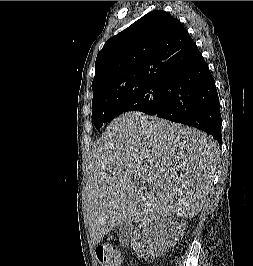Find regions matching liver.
I'll list each match as a JSON object with an SVG mask.
<instances>
[{
	"instance_id": "liver-1",
	"label": "liver",
	"mask_w": 253,
	"mask_h": 266,
	"mask_svg": "<svg viewBox=\"0 0 253 266\" xmlns=\"http://www.w3.org/2000/svg\"><path fill=\"white\" fill-rule=\"evenodd\" d=\"M217 158V142L200 130L138 112L117 117L88 159L92 244L124 223L195 217L210 191Z\"/></svg>"
}]
</instances>
